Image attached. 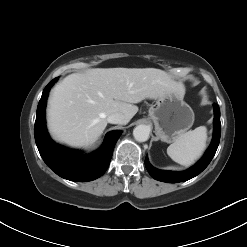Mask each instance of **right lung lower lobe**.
I'll return each mask as SVG.
<instances>
[{
    "instance_id": "obj_1",
    "label": "right lung lower lobe",
    "mask_w": 247,
    "mask_h": 247,
    "mask_svg": "<svg viewBox=\"0 0 247 247\" xmlns=\"http://www.w3.org/2000/svg\"><path fill=\"white\" fill-rule=\"evenodd\" d=\"M57 79L45 87L37 108L34 133L39 153L47 166L62 178L78 182L95 180L107 170L114 146L122 132H109L102 147L87 156L55 144L46 130L45 107L50 87Z\"/></svg>"
}]
</instances>
